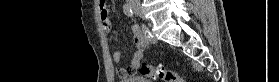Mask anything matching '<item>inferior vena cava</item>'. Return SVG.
Instances as JSON below:
<instances>
[{
  "label": "inferior vena cava",
  "mask_w": 279,
  "mask_h": 82,
  "mask_svg": "<svg viewBox=\"0 0 279 82\" xmlns=\"http://www.w3.org/2000/svg\"><path fill=\"white\" fill-rule=\"evenodd\" d=\"M134 2H135L136 4H139L140 1H139V0H134Z\"/></svg>",
  "instance_id": "1"
}]
</instances>
